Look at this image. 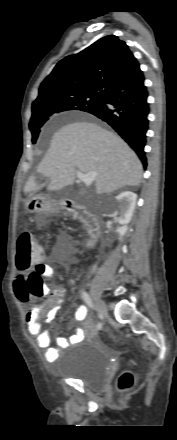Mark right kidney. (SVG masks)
<instances>
[{
    "instance_id": "1",
    "label": "right kidney",
    "mask_w": 177,
    "mask_h": 440,
    "mask_svg": "<svg viewBox=\"0 0 177 440\" xmlns=\"http://www.w3.org/2000/svg\"><path fill=\"white\" fill-rule=\"evenodd\" d=\"M137 195L132 191H124L115 197L113 217L120 227L118 228L119 239H121L128 230V224L131 221L136 205ZM119 215V216H117Z\"/></svg>"
}]
</instances>
